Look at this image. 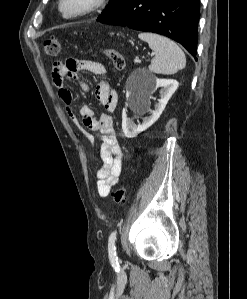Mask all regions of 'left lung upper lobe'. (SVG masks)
Returning <instances> with one entry per match:
<instances>
[{
    "label": "left lung upper lobe",
    "instance_id": "5c2ea615",
    "mask_svg": "<svg viewBox=\"0 0 247 299\" xmlns=\"http://www.w3.org/2000/svg\"><path fill=\"white\" fill-rule=\"evenodd\" d=\"M126 0H110L107 8L102 12V14L98 17L97 21H100L108 16L112 15L115 11H117L120 6Z\"/></svg>",
    "mask_w": 247,
    "mask_h": 299
}]
</instances>
